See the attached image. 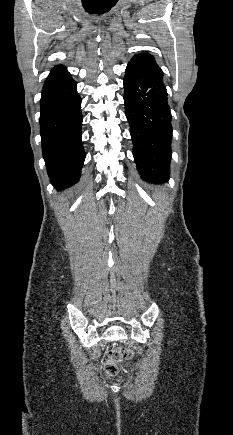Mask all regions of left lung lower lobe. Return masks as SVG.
Masks as SVG:
<instances>
[{
  "label": "left lung lower lobe",
  "instance_id": "obj_1",
  "mask_svg": "<svg viewBox=\"0 0 233 435\" xmlns=\"http://www.w3.org/2000/svg\"><path fill=\"white\" fill-rule=\"evenodd\" d=\"M123 81L137 170L147 182L164 183L171 159L172 125L163 78L129 63Z\"/></svg>",
  "mask_w": 233,
  "mask_h": 435
}]
</instances>
